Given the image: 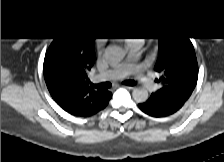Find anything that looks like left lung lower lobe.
<instances>
[{
    "instance_id": "obj_1",
    "label": "left lung lower lobe",
    "mask_w": 224,
    "mask_h": 162,
    "mask_svg": "<svg viewBox=\"0 0 224 162\" xmlns=\"http://www.w3.org/2000/svg\"><path fill=\"white\" fill-rule=\"evenodd\" d=\"M184 103L179 101H163L156 100L154 95L142 104H138L139 108L146 114L154 117H163L173 114L179 110Z\"/></svg>"
}]
</instances>
